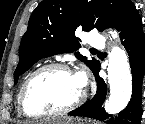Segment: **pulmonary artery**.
I'll use <instances>...</instances> for the list:
<instances>
[{
  "label": "pulmonary artery",
  "instance_id": "obj_1",
  "mask_svg": "<svg viewBox=\"0 0 145 124\" xmlns=\"http://www.w3.org/2000/svg\"><path fill=\"white\" fill-rule=\"evenodd\" d=\"M87 43L90 48H103L104 47L103 36L95 31L88 32Z\"/></svg>",
  "mask_w": 145,
  "mask_h": 124
}]
</instances>
